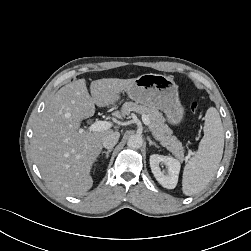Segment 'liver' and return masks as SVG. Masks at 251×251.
<instances>
[{
	"label": "liver",
	"mask_w": 251,
	"mask_h": 251,
	"mask_svg": "<svg viewBox=\"0 0 251 251\" xmlns=\"http://www.w3.org/2000/svg\"><path fill=\"white\" fill-rule=\"evenodd\" d=\"M134 81H92L90 96L86 80L79 79L60 88L49 100L35 122L31 146L35 163L53 190L80 196L92 187L91 167L102 150L103 138L113 131H82L81 121L95 114V105L113 104Z\"/></svg>",
	"instance_id": "liver-1"
}]
</instances>
